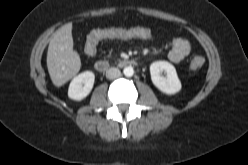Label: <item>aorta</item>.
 I'll list each match as a JSON object with an SVG mask.
<instances>
[{
	"instance_id": "obj_1",
	"label": "aorta",
	"mask_w": 248,
	"mask_h": 165,
	"mask_svg": "<svg viewBox=\"0 0 248 165\" xmlns=\"http://www.w3.org/2000/svg\"><path fill=\"white\" fill-rule=\"evenodd\" d=\"M123 73L126 77H131L134 74V69L132 66H127L123 69Z\"/></svg>"
}]
</instances>
